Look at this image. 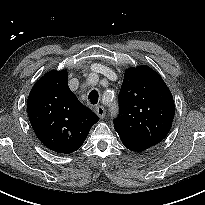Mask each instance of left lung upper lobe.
I'll use <instances>...</instances> for the list:
<instances>
[{"label": "left lung upper lobe", "instance_id": "5c2ea615", "mask_svg": "<svg viewBox=\"0 0 205 205\" xmlns=\"http://www.w3.org/2000/svg\"><path fill=\"white\" fill-rule=\"evenodd\" d=\"M119 115L115 130L156 145L169 133L175 114L173 96L167 85L148 66L129 68L118 96Z\"/></svg>", "mask_w": 205, "mask_h": 205}]
</instances>
